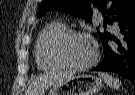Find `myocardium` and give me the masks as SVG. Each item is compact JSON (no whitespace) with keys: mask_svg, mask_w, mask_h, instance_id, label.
<instances>
[{"mask_svg":"<svg viewBox=\"0 0 135 95\" xmlns=\"http://www.w3.org/2000/svg\"><path fill=\"white\" fill-rule=\"evenodd\" d=\"M73 37H81V38H85L87 39L93 47V56L91 58V60L85 64L82 65H74V64H70L69 62H67L63 55H62V48L64 46V44L71 38ZM51 54L53 59L63 68H67L70 70H75V71H79V70H85L90 68L91 66H93L97 59H98V48L95 45V43L92 41V39L90 38L89 35H87L84 32L78 31V30H66L65 32H63L62 34H60L52 43L51 46Z\"/></svg>","mask_w":135,"mask_h":95,"instance_id":"f54148a6","label":"myocardium"}]
</instances>
